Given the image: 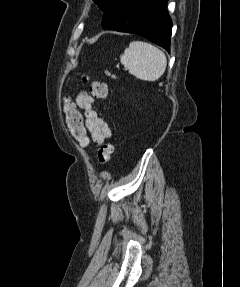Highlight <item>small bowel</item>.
<instances>
[{"label": "small bowel", "mask_w": 240, "mask_h": 287, "mask_svg": "<svg viewBox=\"0 0 240 287\" xmlns=\"http://www.w3.org/2000/svg\"><path fill=\"white\" fill-rule=\"evenodd\" d=\"M94 102V97L86 91H81L76 98V105L83 111L85 129L100 146L112 133L107 122L94 109Z\"/></svg>", "instance_id": "1"}]
</instances>
